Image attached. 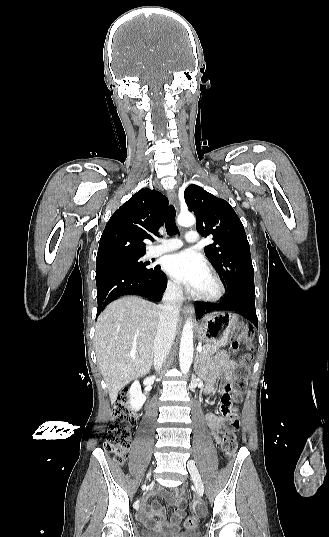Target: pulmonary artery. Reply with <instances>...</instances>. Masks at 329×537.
I'll return each mask as SVG.
<instances>
[{
    "instance_id": "1",
    "label": "pulmonary artery",
    "mask_w": 329,
    "mask_h": 537,
    "mask_svg": "<svg viewBox=\"0 0 329 537\" xmlns=\"http://www.w3.org/2000/svg\"><path fill=\"white\" fill-rule=\"evenodd\" d=\"M186 242L188 244H198L199 243V235L196 231H188L185 235ZM183 245V242L177 238H172L169 240L164 241L162 244L154 247L150 255L151 256H158L167 252H171L174 250H177L181 248Z\"/></svg>"
}]
</instances>
